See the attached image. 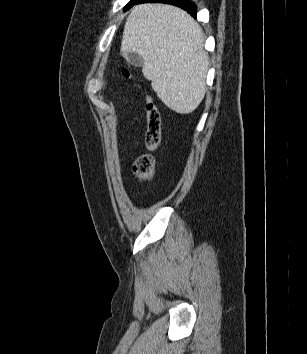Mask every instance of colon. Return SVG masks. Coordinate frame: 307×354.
Here are the masks:
<instances>
[{
    "instance_id": "1",
    "label": "colon",
    "mask_w": 307,
    "mask_h": 354,
    "mask_svg": "<svg viewBox=\"0 0 307 354\" xmlns=\"http://www.w3.org/2000/svg\"><path fill=\"white\" fill-rule=\"evenodd\" d=\"M125 78L130 77L127 69L122 70ZM162 116L151 97L147 98V130L145 144L149 151H155L161 142ZM133 170L135 174L143 180L149 179L154 171V157L150 153L139 156L134 162Z\"/></svg>"
}]
</instances>
